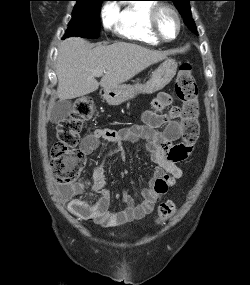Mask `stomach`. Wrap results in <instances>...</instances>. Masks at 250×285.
Masks as SVG:
<instances>
[{
  "label": "stomach",
  "instance_id": "0dacf381",
  "mask_svg": "<svg viewBox=\"0 0 250 285\" xmlns=\"http://www.w3.org/2000/svg\"><path fill=\"white\" fill-rule=\"evenodd\" d=\"M177 71V63L173 59H166L144 84H123L113 89H104L103 97L110 105H120L136 95L152 94L168 85Z\"/></svg>",
  "mask_w": 250,
  "mask_h": 285
}]
</instances>
